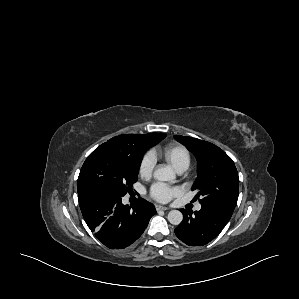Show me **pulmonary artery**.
Returning a JSON list of instances; mask_svg holds the SVG:
<instances>
[{
	"label": "pulmonary artery",
	"mask_w": 299,
	"mask_h": 299,
	"mask_svg": "<svg viewBox=\"0 0 299 299\" xmlns=\"http://www.w3.org/2000/svg\"><path fill=\"white\" fill-rule=\"evenodd\" d=\"M185 170H180V171H178L179 173H183ZM201 209V205L200 204H197L196 206H195V210L196 211H199Z\"/></svg>",
	"instance_id": "e3ab8cb5"
}]
</instances>
